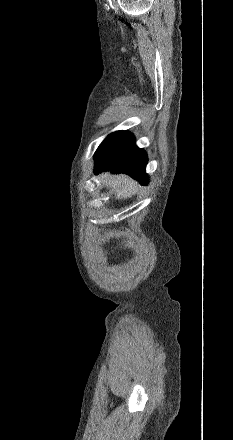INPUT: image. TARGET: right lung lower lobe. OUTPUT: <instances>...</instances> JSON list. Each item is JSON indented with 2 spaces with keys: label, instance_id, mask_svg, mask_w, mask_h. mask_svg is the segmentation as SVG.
Instances as JSON below:
<instances>
[{
  "label": "right lung lower lobe",
  "instance_id": "obj_1",
  "mask_svg": "<svg viewBox=\"0 0 233 440\" xmlns=\"http://www.w3.org/2000/svg\"><path fill=\"white\" fill-rule=\"evenodd\" d=\"M94 159L96 174L105 170L126 173L142 184L148 183L145 173L147 155L136 146L134 136L127 131L109 134L98 147Z\"/></svg>",
  "mask_w": 233,
  "mask_h": 440
}]
</instances>
